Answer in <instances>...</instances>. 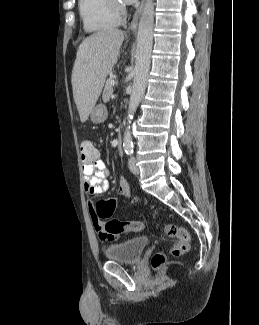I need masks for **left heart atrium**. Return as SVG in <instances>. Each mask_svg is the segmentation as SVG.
Returning a JSON list of instances; mask_svg holds the SVG:
<instances>
[{"instance_id": "left-heart-atrium-1", "label": "left heart atrium", "mask_w": 259, "mask_h": 325, "mask_svg": "<svg viewBox=\"0 0 259 325\" xmlns=\"http://www.w3.org/2000/svg\"><path fill=\"white\" fill-rule=\"evenodd\" d=\"M126 3H133L135 0H123Z\"/></svg>"}]
</instances>
